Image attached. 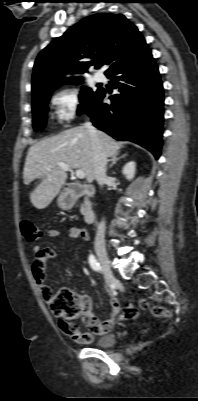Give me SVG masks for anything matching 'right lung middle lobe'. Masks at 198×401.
Wrapping results in <instances>:
<instances>
[{
    "label": "right lung middle lobe",
    "instance_id": "dd1d6c3e",
    "mask_svg": "<svg viewBox=\"0 0 198 401\" xmlns=\"http://www.w3.org/2000/svg\"><path fill=\"white\" fill-rule=\"evenodd\" d=\"M101 91V88L92 91L90 88L82 87L81 94L79 95L81 104L77 112L82 114L89 111ZM51 92L52 90L45 91L32 98L33 128L35 130H42L45 127L48 110L47 103L50 99Z\"/></svg>",
    "mask_w": 198,
    "mask_h": 401
}]
</instances>
